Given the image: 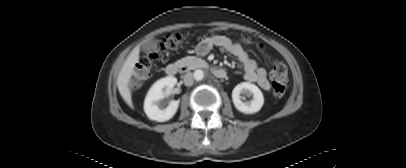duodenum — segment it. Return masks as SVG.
<instances>
[{
    "label": "duodenum",
    "mask_w": 406,
    "mask_h": 168,
    "mask_svg": "<svg viewBox=\"0 0 406 168\" xmlns=\"http://www.w3.org/2000/svg\"><path fill=\"white\" fill-rule=\"evenodd\" d=\"M200 66L203 68H210L212 73L219 79H224L227 76V72L218 66H210L207 63H202ZM184 69L185 68H182V66L178 63H171L166 67L165 72L168 76H175L177 73Z\"/></svg>",
    "instance_id": "1"
}]
</instances>
